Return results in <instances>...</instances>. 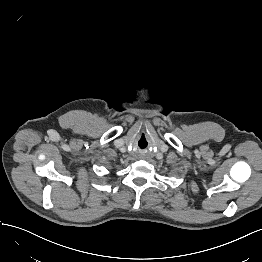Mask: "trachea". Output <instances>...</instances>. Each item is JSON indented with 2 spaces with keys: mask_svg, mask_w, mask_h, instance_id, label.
Masks as SVG:
<instances>
[{
  "mask_svg": "<svg viewBox=\"0 0 262 262\" xmlns=\"http://www.w3.org/2000/svg\"><path fill=\"white\" fill-rule=\"evenodd\" d=\"M147 145H148V142H147L145 136H141V137L139 138V140H138V146H139L140 148H145V147H147Z\"/></svg>",
  "mask_w": 262,
  "mask_h": 262,
  "instance_id": "3493384b",
  "label": "trachea"
}]
</instances>
